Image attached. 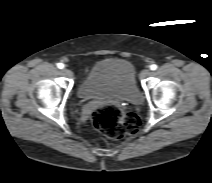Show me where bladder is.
Wrapping results in <instances>:
<instances>
[{
    "label": "bladder",
    "mask_w": 212,
    "mask_h": 183,
    "mask_svg": "<svg viewBox=\"0 0 212 183\" xmlns=\"http://www.w3.org/2000/svg\"><path fill=\"white\" fill-rule=\"evenodd\" d=\"M77 92L85 100L112 98L130 104H139L142 100L132 65L115 57L96 62L79 84Z\"/></svg>",
    "instance_id": "bladder-1"
}]
</instances>
